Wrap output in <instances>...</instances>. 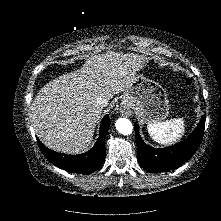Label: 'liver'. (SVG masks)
Masks as SVG:
<instances>
[{
  "mask_svg": "<svg viewBox=\"0 0 221 221\" xmlns=\"http://www.w3.org/2000/svg\"><path fill=\"white\" fill-rule=\"evenodd\" d=\"M145 63L142 55L108 51L90 56L80 69L49 81L30 107L39 139L58 152L86 151L105 107L97 104V98L109 101L125 91Z\"/></svg>",
  "mask_w": 221,
  "mask_h": 221,
  "instance_id": "1",
  "label": "liver"
}]
</instances>
